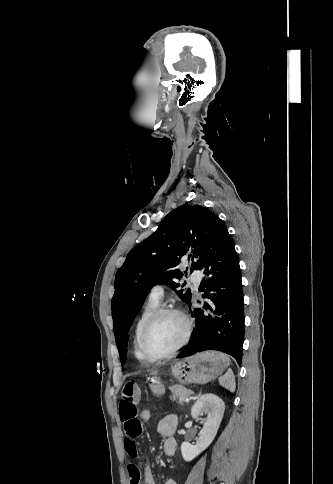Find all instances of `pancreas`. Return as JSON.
Returning a JSON list of instances; mask_svg holds the SVG:
<instances>
[{"mask_svg":"<svg viewBox=\"0 0 333 484\" xmlns=\"http://www.w3.org/2000/svg\"><path fill=\"white\" fill-rule=\"evenodd\" d=\"M172 396L170 398L179 403H183L193 392L182 385H173L170 387Z\"/></svg>","mask_w":333,"mask_h":484,"instance_id":"obj_1","label":"pancreas"}]
</instances>
